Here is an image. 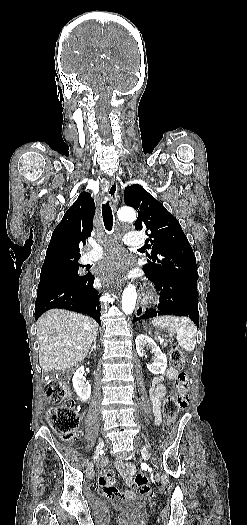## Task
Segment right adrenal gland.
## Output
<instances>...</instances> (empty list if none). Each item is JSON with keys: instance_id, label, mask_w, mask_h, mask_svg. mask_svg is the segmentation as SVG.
Listing matches in <instances>:
<instances>
[{"instance_id": "right-adrenal-gland-1", "label": "right adrenal gland", "mask_w": 247, "mask_h": 525, "mask_svg": "<svg viewBox=\"0 0 247 525\" xmlns=\"http://www.w3.org/2000/svg\"><path fill=\"white\" fill-rule=\"evenodd\" d=\"M96 339H97V337H94L93 345H92V347H91V349L89 351V355H91L92 351H96Z\"/></svg>"}]
</instances>
